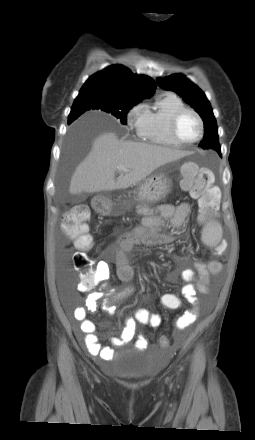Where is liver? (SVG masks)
<instances>
[{"instance_id":"6515ba94","label":"liver","mask_w":255,"mask_h":440,"mask_svg":"<svg viewBox=\"0 0 255 440\" xmlns=\"http://www.w3.org/2000/svg\"><path fill=\"white\" fill-rule=\"evenodd\" d=\"M186 155L188 152L177 149L120 141L114 133L106 132L93 141L90 153L76 168L69 191L75 195L127 189L157 168ZM116 171L120 173L118 178H115Z\"/></svg>"}]
</instances>
